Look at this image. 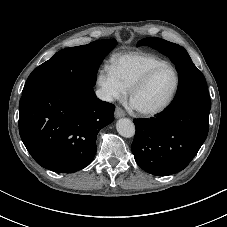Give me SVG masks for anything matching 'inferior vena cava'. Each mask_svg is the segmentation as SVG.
<instances>
[{
	"mask_svg": "<svg viewBox=\"0 0 227 227\" xmlns=\"http://www.w3.org/2000/svg\"><path fill=\"white\" fill-rule=\"evenodd\" d=\"M96 96L103 101H107V102H112L113 101V97L110 93H108L106 90L104 89H98L96 91Z\"/></svg>",
	"mask_w": 227,
	"mask_h": 227,
	"instance_id": "inferior-vena-cava-1",
	"label": "inferior vena cava"
}]
</instances>
